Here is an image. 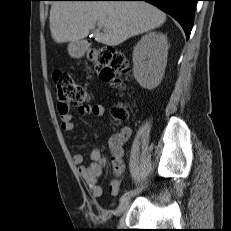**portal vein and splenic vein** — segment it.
Masks as SVG:
<instances>
[{"mask_svg": "<svg viewBox=\"0 0 231 231\" xmlns=\"http://www.w3.org/2000/svg\"><path fill=\"white\" fill-rule=\"evenodd\" d=\"M97 25H98L99 28H102V24L98 23Z\"/></svg>", "mask_w": 231, "mask_h": 231, "instance_id": "18ae733b", "label": "portal vein and splenic vein"}]
</instances>
